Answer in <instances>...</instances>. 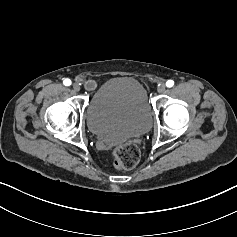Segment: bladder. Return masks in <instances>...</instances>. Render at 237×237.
I'll list each match as a JSON object with an SVG mask.
<instances>
[{
  "label": "bladder",
  "mask_w": 237,
  "mask_h": 237,
  "mask_svg": "<svg viewBox=\"0 0 237 237\" xmlns=\"http://www.w3.org/2000/svg\"><path fill=\"white\" fill-rule=\"evenodd\" d=\"M86 122L92 134L109 143L144 134L152 124L144 86L126 76L105 81L91 95Z\"/></svg>",
  "instance_id": "31cf9c89"
}]
</instances>
